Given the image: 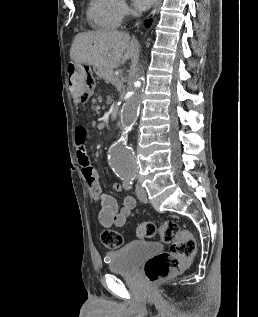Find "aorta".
I'll return each mask as SVG.
<instances>
[{
	"instance_id": "aorta-1",
	"label": "aorta",
	"mask_w": 258,
	"mask_h": 317,
	"mask_svg": "<svg viewBox=\"0 0 258 317\" xmlns=\"http://www.w3.org/2000/svg\"><path fill=\"white\" fill-rule=\"evenodd\" d=\"M140 86V81L134 82V90L126 94L127 100L121 109V137L110 151V165L116 175L122 179H132L138 172V160L132 148L128 146L127 139L139 115Z\"/></svg>"
}]
</instances>
